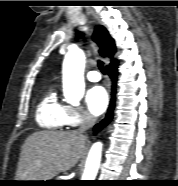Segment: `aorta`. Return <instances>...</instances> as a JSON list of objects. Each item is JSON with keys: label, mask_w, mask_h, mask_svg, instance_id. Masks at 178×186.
I'll return each instance as SVG.
<instances>
[{"label": "aorta", "mask_w": 178, "mask_h": 186, "mask_svg": "<svg viewBox=\"0 0 178 186\" xmlns=\"http://www.w3.org/2000/svg\"><path fill=\"white\" fill-rule=\"evenodd\" d=\"M84 67L85 54L80 49H71L66 54L63 62V94L71 104H78L84 95ZM102 155V143L96 142L92 145L82 180H95L100 166Z\"/></svg>", "instance_id": "aorta-1"}]
</instances>
